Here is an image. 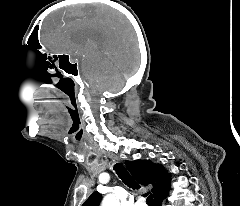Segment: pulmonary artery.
I'll list each match as a JSON object with an SVG mask.
<instances>
[{"label":"pulmonary artery","instance_id":"pulmonary-artery-1","mask_svg":"<svg viewBox=\"0 0 240 206\" xmlns=\"http://www.w3.org/2000/svg\"><path fill=\"white\" fill-rule=\"evenodd\" d=\"M134 206H146V205L142 202H136Z\"/></svg>","mask_w":240,"mask_h":206}]
</instances>
